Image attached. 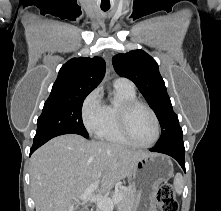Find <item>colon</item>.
Returning a JSON list of instances; mask_svg holds the SVG:
<instances>
[{"mask_svg":"<svg viewBox=\"0 0 221 211\" xmlns=\"http://www.w3.org/2000/svg\"><path fill=\"white\" fill-rule=\"evenodd\" d=\"M178 202L171 184H163L158 190L159 211H178Z\"/></svg>","mask_w":221,"mask_h":211,"instance_id":"1","label":"colon"}]
</instances>
